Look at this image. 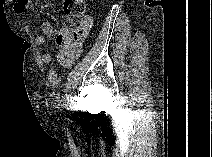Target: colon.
<instances>
[{"label": "colon", "mask_w": 212, "mask_h": 157, "mask_svg": "<svg viewBox=\"0 0 212 157\" xmlns=\"http://www.w3.org/2000/svg\"><path fill=\"white\" fill-rule=\"evenodd\" d=\"M63 12L66 20L74 27L75 30L58 36L61 43H65L69 37H79V28L83 24V17L86 13V3L83 0H65L63 3Z\"/></svg>", "instance_id": "obj_1"}]
</instances>
